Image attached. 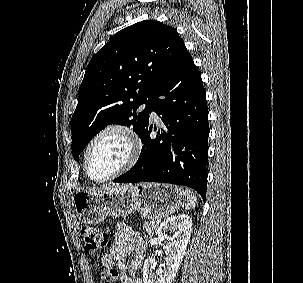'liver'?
I'll return each instance as SVG.
<instances>
[{
	"label": "liver",
	"mask_w": 303,
	"mask_h": 283,
	"mask_svg": "<svg viewBox=\"0 0 303 283\" xmlns=\"http://www.w3.org/2000/svg\"><path fill=\"white\" fill-rule=\"evenodd\" d=\"M117 186H121V185H119V184H108V185H103V186H101V187H99V188L91 189V190H89V192H95V193H97V192H102V191H104V190H106V189H108V188L117 187Z\"/></svg>",
	"instance_id": "6515ba94"
}]
</instances>
